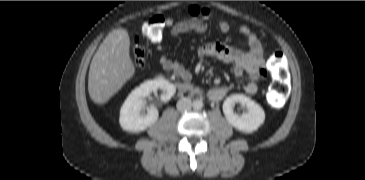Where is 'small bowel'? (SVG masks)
<instances>
[{"label":"small bowel","mask_w":365,"mask_h":180,"mask_svg":"<svg viewBox=\"0 0 365 180\" xmlns=\"http://www.w3.org/2000/svg\"><path fill=\"white\" fill-rule=\"evenodd\" d=\"M166 26L169 28L171 38L187 32L203 33L207 30V24L203 21H191L180 19L174 21L172 18L166 19ZM218 27L223 34H227L230 26L226 21H219ZM240 33L247 42L248 50L244 51L232 47L224 42L206 43L197 47V55L200 58H212L231 64V71L234 76L241 77L247 74L248 78L243 91L248 95H254L258 91V84L266 76L267 55L260 39L247 26L240 27ZM160 65L167 71L174 72L183 81L191 79L190 71L180 62L168 58L161 42H157ZM227 93L225 87L217 86L209 90V98L220 101Z\"/></svg>","instance_id":"1"}]
</instances>
